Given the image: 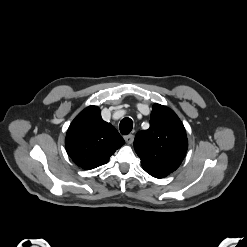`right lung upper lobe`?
<instances>
[{
  "mask_svg": "<svg viewBox=\"0 0 247 247\" xmlns=\"http://www.w3.org/2000/svg\"><path fill=\"white\" fill-rule=\"evenodd\" d=\"M123 144L117 130L102 120L97 106L87 107L72 121L65 139L70 158L86 170L107 163Z\"/></svg>",
  "mask_w": 247,
  "mask_h": 247,
  "instance_id": "right-lung-upper-lobe-1",
  "label": "right lung upper lobe"
}]
</instances>
